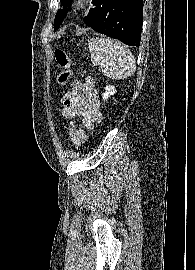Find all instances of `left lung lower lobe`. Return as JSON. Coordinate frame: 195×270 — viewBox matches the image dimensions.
I'll use <instances>...</instances> for the list:
<instances>
[{
  "label": "left lung lower lobe",
  "instance_id": "left-lung-lower-lobe-1",
  "mask_svg": "<svg viewBox=\"0 0 195 270\" xmlns=\"http://www.w3.org/2000/svg\"><path fill=\"white\" fill-rule=\"evenodd\" d=\"M92 3L94 7L84 17L86 25L127 45H140L143 0H93Z\"/></svg>",
  "mask_w": 195,
  "mask_h": 270
}]
</instances>
